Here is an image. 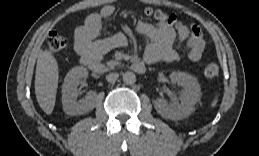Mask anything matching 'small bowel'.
Wrapping results in <instances>:
<instances>
[{
  "mask_svg": "<svg viewBox=\"0 0 259 156\" xmlns=\"http://www.w3.org/2000/svg\"><path fill=\"white\" fill-rule=\"evenodd\" d=\"M114 12V6L105 5L98 12L90 14L84 23L76 28L74 45L81 57L88 55L100 60L109 50L125 46L126 37L121 33L105 39H96L103 20L110 18ZM136 29L146 39L144 60L147 64L179 60V49L184 42H186V57L190 61H199L205 51V40L196 25H183L176 32L166 23L151 24L140 20L136 24ZM176 36H178L177 42H175Z\"/></svg>",
  "mask_w": 259,
  "mask_h": 156,
  "instance_id": "1",
  "label": "small bowel"
}]
</instances>
